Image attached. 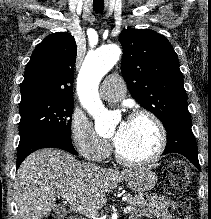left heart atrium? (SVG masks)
I'll use <instances>...</instances> for the list:
<instances>
[{
    "label": "left heart atrium",
    "instance_id": "39dd6f15",
    "mask_svg": "<svg viewBox=\"0 0 211 219\" xmlns=\"http://www.w3.org/2000/svg\"><path fill=\"white\" fill-rule=\"evenodd\" d=\"M126 129H127V122H122L118 128L117 133L115 134V136L113 138L114 144L116 146L120 143Z\"/></svg>",
    "mask_w": 211,
    "mask_h": 219
}]
</instances>
